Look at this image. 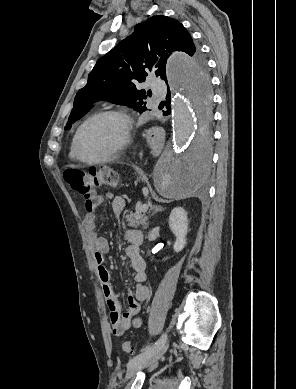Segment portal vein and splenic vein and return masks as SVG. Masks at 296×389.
I'll return each mask as SVG.
<instances>
[{
	"mask_svg": "<svg viewBox=\"0 0 296 389\" xmlns=\"http://www.w3.org/2000/svg\"><path fill=\"white\" fill-rule=\"evenodd\" d=\"M149 209V205L148 204H144L142 205L141 207L138 208L139 212H147V210Z\"/></svg>",
	"mask_w": 296,
	"mask_h": 389,
	"instance_id": "obj_1",
	"label": "portal vein and splenic vein"
}]
</instances>
